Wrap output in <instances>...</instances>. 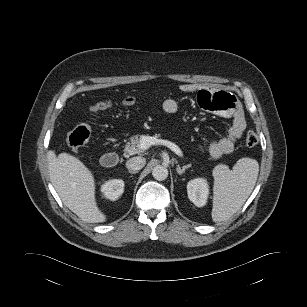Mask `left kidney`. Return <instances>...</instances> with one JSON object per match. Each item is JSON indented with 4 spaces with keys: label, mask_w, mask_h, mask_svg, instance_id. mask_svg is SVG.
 I'll list each match as a JSON object with an SVG mask.
<instances>
[{
    "label": "left kidney",
    "mask_w": 307,
    "mask_h": 307,
    "mask_svg": "<svg viewBox=\"0 0 307 307\" xmlns=\"http://www.w3.org/2000/svg\"><path fill=\"white\" fill-rule=\"evenodd\" d=\"M187 193L190 201H192L197 207H202L206 204L209 186L208 182L204 178H196L188 182Z\"/></svg>",
    "instance_id": "5707ae66"
}]
</instances>
